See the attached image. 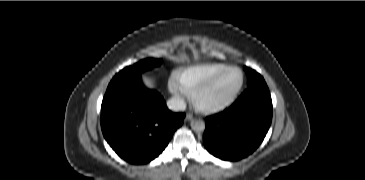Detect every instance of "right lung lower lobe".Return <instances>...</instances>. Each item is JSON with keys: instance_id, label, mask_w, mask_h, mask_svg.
<instances>
[{"instance_id": "obj_1", "label": "right lung lower lobe", "mask_w": 365, "mask_h": 180, "mask_svg": "<svg viewBox=\"0 0 365 180\" xmlns=\"http://www.w3.org/2000/svg\"><path fill=\"white\" fill-rule=\"evenodd\" d=\"M168 110L163 97L141 82V75L110 83L101 106V128L112 149L132 164L156 158L184 120Z\"/></svg>"}]
</instances>
